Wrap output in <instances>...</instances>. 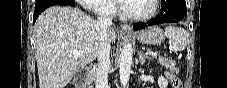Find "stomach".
I'll return each instance as SVG.
<instances>
[{
  "mask_svg": "<svg viewBox=\"0 0 227 88\" xmlns=\"http://www.w3.org/2000/svg\"><path fill=\"white\" fill-rule=\"evenodd\" d=\"M138 41L149 45H161L165 40L163 30L158 26H151L135 33Z\"/></svg>",
  "mask_w": 227,
  "mask_h": 88,
  "instance_id": "stomach-1",
  "label": "stomach"
}]
</instances>
